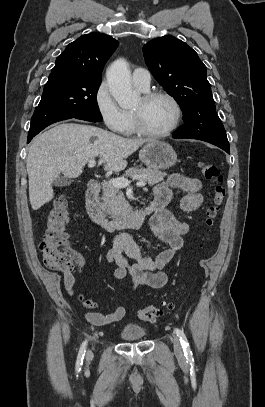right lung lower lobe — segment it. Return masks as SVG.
<instances>
[{
  "mask_svg": "<svg viewBox=\"0 0 265 407\" xmlns=\"http://www.w3.org/2000/svg\"><path fill=\"white\" fill-rule=\"evenodd\" d=\"M77 119L86 120V121H91V122H97L96 120L89 119V118H77ZM33 137H34V136H28L27 142H30Z\"/></svg>",
  "mask_w": 265,
  "mask_h": 407,
  "instance_id": "1",
  "label": "right lung lower lobe"
}]
</instances>
